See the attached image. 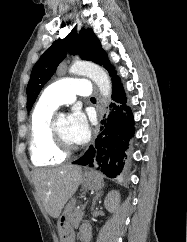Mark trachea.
<instances>
[{"label":"trachea","mask_w":187,"mask_h":242,"mask_svg":"<svg viewBox=\"0 0 187 242\" xmlns=\"http://www.w3.org/2000/svg\"><path fill=\"white\" fill-rule=\"evenodd\" d=\"M91 100H95V98H94V97H92V98H91Z\"/></svg>","instance_id":"obj_1"}]
</instances>
